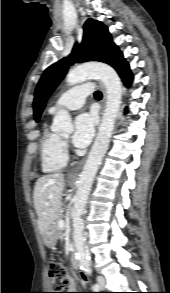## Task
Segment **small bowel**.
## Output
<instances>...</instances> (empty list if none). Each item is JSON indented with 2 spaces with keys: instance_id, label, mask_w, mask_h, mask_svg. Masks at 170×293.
<instances>
[{
  "instance_id": "c3829d8e",
  "label": "small bowel",
  "mask_w": 170,
  "mask_h": 293,
  "mask_svg": "<svg viewBox=\"0 0 170 293\" xmlns=\"http://www.w3.org/2000/svg\"><path fill=\"white\" fill-rule=\"evenodd\" d=\"M82 278H85V275H84V274H82ZM71 284H72L73 286H76V282H75L74 280H71Z\"/></svg>"
}]
</instances>
